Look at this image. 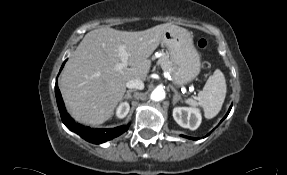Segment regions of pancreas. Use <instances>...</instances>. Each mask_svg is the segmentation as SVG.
<instances>
[{"mask_svg":"<svg viewBox=\"0 0 287 175\" xmlns=\"http://www.w3.org/2000/svg\"><path fill=\"white\" fill-rule=\"evenodd\" d=\"M158 65L161 66L165 71H168L169 73H173L176 66L174 63L169 59L168 55L162 54V56L157 61Z\"/></svg>","mask_w":287,"mask_h":175,"instance_id":"obj_1","label":"pancreas"}]
</instances>
